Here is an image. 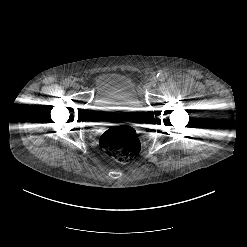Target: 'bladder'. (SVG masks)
Masks as SVG:
<instances>
[{"mask_svg": "<svg viewBox=\"0 0 247 247\" xmlns=\"http://www.w3.org/2000/svg\"><path fill=\"white\" fill-rule=\"evenodd\" d=\"M93 110L96 121L133 120L140 111V98L134 82L118 73H105L95 82Z\"/></svg>", "mask_w": 247, "mask_h": 247, "instance_id": "31cf9c89", "label": "bladder"}]
</instances>
